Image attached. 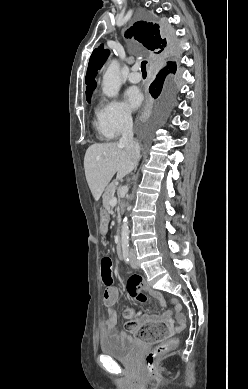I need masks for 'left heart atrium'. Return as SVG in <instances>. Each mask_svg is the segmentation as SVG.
<instances>
[{"label":"left heart atrium","instance_id":"1","mask_svg":"<svg viewBox=\"0 0 248 389\" xmlns=\"http://www.w3.org/2000/svg\"><path fill=\"white\" fill-rule=\"evenodd\" d=\"M124 99L130 109H136L141 104L142 96L137 89L129 88L124 94Z\"/></svg>","mask_w":248,"mask_h":389}]
</instances>
